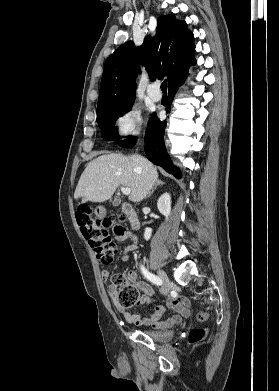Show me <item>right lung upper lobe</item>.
<instances>
[{
    "instance_id": "cb5924a9",
    "label": "right lung upper lobe",
    "mask_w": 279,
    "mask_h": 391,
    "mask_svg": "<svg viewBox=\"0 0 279 391\" xmlns=\"http://www.w3.org/2000/svg\"><path fill=\"white\" fill-rule=\"evenodd\" d=\"M193 38L185 21L167 15L158 18L155 36H148L140 47L129 41L117 48L105 62L97 113L134 102L139 64L152 81L166 76L171 88L196 64Z\"/></svg>"
}]
</instances>
